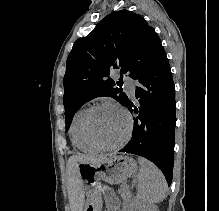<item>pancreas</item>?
Listing matches in <instances>:
<instances>
[{"instance_id": "pancreas-1", "label": "pancreas", "mask_w": 219, "mask_h": 211, "mask_svg": "<svg viewBox=\"0 0 219 211\" xmlns=\"http://www.w3.org/2000/svg\"><path fill=\"white\" fill-rule=\"evenodd\" d=\"M130 188H126L124 187V185H122V187H120L119 189V193H121L123 199H125V201H128L129 199V193H130Z\"/></svg>"}]
</instances>
